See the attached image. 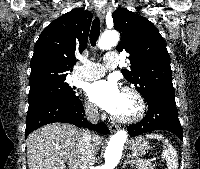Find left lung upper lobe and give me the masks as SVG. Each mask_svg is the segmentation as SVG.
Instances as JSON below:
<instances>
[{"label": "left lung upper lobe", "instance_id": "5c2ea615", "mask_svg": "<svg viewBox=\"0 0 200 169\" xmlns=\"http://www.w3.org/2000/svg\"><path fill=\"white\" fill-rule=\"evenodd\" d=\"M114 28L121 34L118 52H127L131 62L121 70L147 100L154 96L174 97L170 57L158 29L146 18L127 9L112 14Z\"/></svg>", "mask_w": 200, "mask_h": 169}]
</instances>
